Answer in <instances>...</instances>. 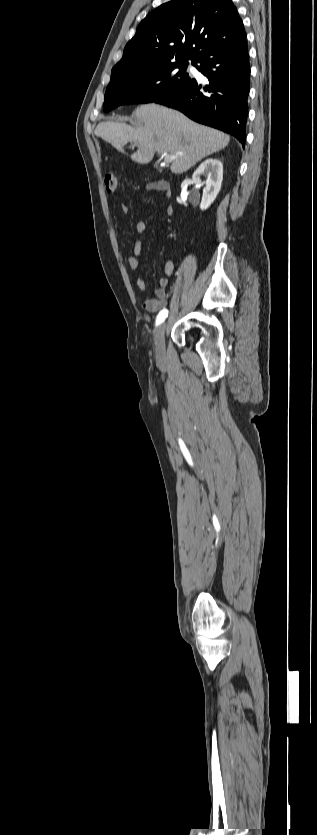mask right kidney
Masks as SVG:
<instances>
[{"instance_id":"right-kidney-1","label":"right kidney","mask_w":317,"mask_h":835,"mask_svg":"<svg viewBox=\"0 0 317 835\" xmlns=\"http://www.w3.org/2000/svg\"><path fill=\"white\" fill-rule=\"evenodd\" d=\"M206 177L204 182H201L200 177ZM223 179V164L216 158H209L202 162L197 170L192 175V180L198 183L203 188V196L200 203V209L206 210L210 207L216 199Z\"/></svg>"}]
</instances>
